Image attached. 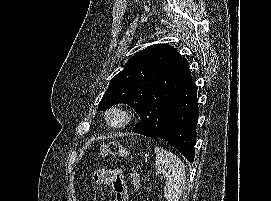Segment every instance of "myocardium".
Wrapping results in <instances>:
<instances>
[{
	"label": "myocardium",
	"instance_id": "obj_1",
	"mask_svg": "<svg viewBox=\"0 0 271 201\" xmlns=\"http://www.w3.org/2000/svg\"><path fill=\"white\" fill-rule=\"evenodd\" d=\"M113 115L119 116L120 119L118 122L115 123L111 120V117ZM104 119L109 127L114 129H120L126 127L131 122L132 115L131 112L125 106L114 105L106 110Z\"/></svg>",
	"mask_w": 271,
	"mask_h": 201
}]
</instances>
